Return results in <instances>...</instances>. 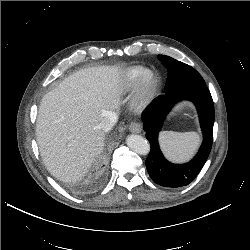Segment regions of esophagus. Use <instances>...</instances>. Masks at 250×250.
<instances>
[{
	"instance_id": "1",
	"label": "esophagus",
	"mask_w": 250,
	"mask_h": 250,
	"mask_svg": "<svg viewBox=\"0 0 250 250\" xmlns=\"http://www.w3.org/2000/svg\"><path fill=\"white\" fill-rule=\"evenodd\" d=\"M129 130L132 132V133H140L142 131V126L140 123L138 122H132L130 125H129Z\"/></svg>"
}]
</instances>
